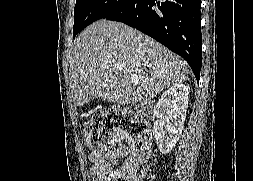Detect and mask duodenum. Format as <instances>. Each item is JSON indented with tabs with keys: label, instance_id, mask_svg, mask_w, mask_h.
I'll list each match as a JSON object with an SVG mask.
<instances>
[{
	"label": "duodenum",
	"instance_id": "obj_1",
	"mask_svg": "<svg viewBox=\"0 0 253 181\" xmlns=\"http://www.w3.org/2000/svg\"><path fill=\"white\" fill-rule=\"evenodd\" d=\"M140 112L146 117H152L154 113V108L151 103H144L140 107Z\"/></svg>",
	"mask_w": 253,
	"mask_h": 181
}]
</instances>
